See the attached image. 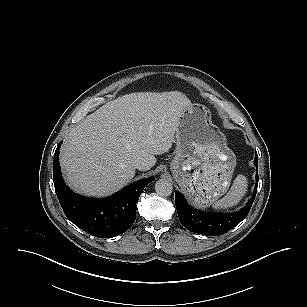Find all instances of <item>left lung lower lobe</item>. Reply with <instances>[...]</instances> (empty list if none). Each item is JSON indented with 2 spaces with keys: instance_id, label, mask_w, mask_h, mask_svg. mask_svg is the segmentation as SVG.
Here are the masks:
<instances>
[{
  "instance_id": "0a47b994",
  "label": "left lung lower lobe",
  "mask_w": 307,
  "mask_h": 307,
  "mask_svg": "<svg viewBox=\"0 0 307 307\" xmlns=\"http://www.w3.org/2000/svg\"><path fill=\"white\" fill-rule=\"evenodd\" d=\"M257 168L256 184L253 196L247 205L234 213H206L193 209L184 199L183 195L175 191L176 209L181 224L189 231L207 236H218L228 232L238 225L248 215L256 196L258 186V156L254 159Z\"/></svg>"
}]
</instances>
